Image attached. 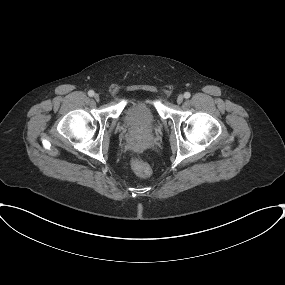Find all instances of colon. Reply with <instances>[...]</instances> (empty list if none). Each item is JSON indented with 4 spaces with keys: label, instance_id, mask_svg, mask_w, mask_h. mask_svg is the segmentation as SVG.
Returning a JSON list of instances; mask_svg holds the SVG:
<instances>
[{
    "label": "colon",
    "instance_id": "obj_1",
    "mask_svg": "<svg viewBox=\"0 0 285 285\" xmlns=\"http://www.w3.org/2000/svg\"><path fill=\"white\" fill-rule=\"evenodd\" d=\"M130 166L133 172L139 177H148L151 174L150 166L140 158L134 157L130 161Z\"/></svg>",
    "mask_w": 285,
    "mask_h": 285
}]
</instances>
